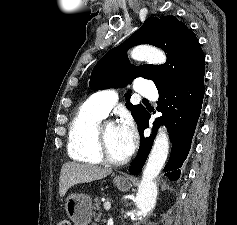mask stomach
<instances>
[{
	"instance_id": "0dacf381",
	"label": "stomach",
	"mask_w": 237,
	"mask_h": 225,
	"mask_svg": "<svg viewBox=\"0 0 237 225\" xmlns=\"http://www.w3.org/2000/svg\"><path fill=\"white\" fill-rule=\"evenodd\" d=\"M113 182L120 191H127L131 187L130 178L116 176ZM92 208V200L88 195L71 194L66 199V213L75 225H88L92 216Z\"/></svg>"
}]
</instances>
